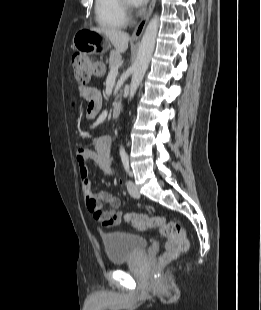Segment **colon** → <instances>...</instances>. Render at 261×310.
<instances>
[{
    "label": "colon",
    "mask_w": 261,
    "mask_h": 310,
    "mask_svg": "<svg viewBox=\"0 0 261 310\" xmlns=\"http://www.w3.org/2000/svg\"><path fill=\"white\" fill-rule=\"evenodd\" d=\"M71 63L75 80L83 85L89 83L102 71L99 62L83 53L75 54ZM124 219L138 230L158 229L161 236L166 240L165 251L159 258L160 265L170 263L188 248L185 231L177 221L169 220L163 216H148L135 213L126 214Z\"/></svg>",
    "instance_id": "5ec220e1"
}]
</instances>
